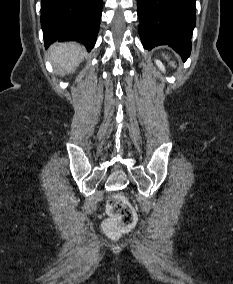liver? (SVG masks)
<instances>
[{
  "instance_id": "6515ba94",
  "label": "liver",
  "mask_w": 233,
  "mask_h": 284,
  "mask_svg": "<svg viewBox=\"0 0 233 284\" xmlns=\"http://www.w3.org/2000/svg\"><path fill=\"white\" fill-rule=\"evenodd\" d=\"M85 56V48L78 43H55L50 57L60 75L72 73Z\"/></svg>"
}]
</instances>
